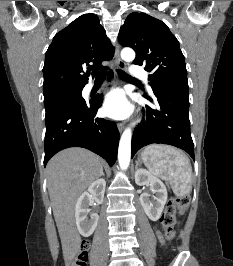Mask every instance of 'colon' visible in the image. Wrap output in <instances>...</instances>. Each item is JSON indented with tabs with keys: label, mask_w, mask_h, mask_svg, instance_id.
Masks as SVG:
<instances>
[{
	"label": "colon",
	"mask_w": 233,
	"mask_h": 266,
	"mask_svg": "<svg viewBox=\"0 0 233 266\" xmlns=\"http://www.w3.org/2000/svg\"><path fill=\"white\" fill-rule=\"evenodd\" d=\"M190 199L187 196H173L165 206L161 217V223L165 228L167 239H172L175 234L176 217L183 215L188 209ZM88 242L82 241L76 253L71 255L67 261V266H87Z\"/></svg>",
	"instance_id": "5ec220e1"
}]
</instances>
